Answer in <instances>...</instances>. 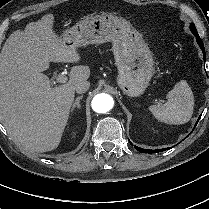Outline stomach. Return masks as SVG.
<instances>
[{
	"mask_svg": "<svg viewBox=\"0 0 209 209\" xmlns=\"http://www.w3.org/2000/svg\"><path fill=\"white\" fill-rule=\"evenodd\" d=\"M63 44L78 48L112 42L118 86L129 96L141 95L154 75V60L142 35L126 19L111 13L92 15L66 29Z\"/></svg>",
	"mask_w": 209,
	"mask_h": 209,
	"instance_id": "obj_1",
	"label": "stomach"
}]
</instances>
